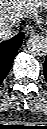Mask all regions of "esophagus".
Wrapping results in <instances>:
<instances>
[{"instance_id":"esophagus-1","label":"esophagus","mask_w":47,"mask_h":129,"mask_svg":"<svg viewBox=\"0 0 47 129\" xmlns=\"http://www.w3.org/2000/svg\"><path fill=\"white\" fill-rule=\"evenodd\" d=\"M35 34V27L33 25H28L25 28V35L27 37L32 36Z\"/></svg>"}]
</instances>
